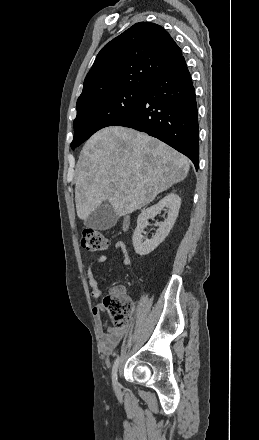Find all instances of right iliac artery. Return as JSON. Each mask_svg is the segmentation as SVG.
<instances>
[{"instance_id": "1", "label": "right iliac artery", "mask_w": 259, "mask_h": 440, "mask_svg": "<svg viewBox=\"0 0 259 440\" xmlns=\"http://www.w3.org/2000/svg\"><path fill=\"white\" fill-rule=\"evenodd\" d=\"M119 357L116 358L114 364H113V368H112V381H113V385L115 387L116 385V380H117V370H118V365H119Z\"/></svg>"}]
</instances>
